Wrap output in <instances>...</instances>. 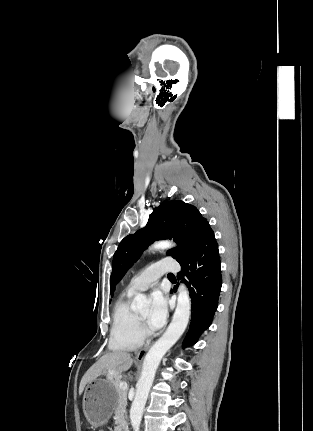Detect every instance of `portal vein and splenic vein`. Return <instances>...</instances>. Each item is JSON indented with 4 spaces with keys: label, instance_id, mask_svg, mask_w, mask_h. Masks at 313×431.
Segmentation results:
<instances>
[{
    "label": "portal vein and splenic vein",
    "instance_id": "portal-vein-and-splenic-vein-1",
    "mask_svg": "<svg viewBox=\"0 0 313 431\" xmlns=\"http://www.w3.org/2000/svg\"><path fill=\"white\" fill-rule=\"evenodd\" d=\"M119 387L123 391H126L128 389V384L126 382H120Z\"/></svg>",
    "mask_w": 313,
    "mask_h": 431
}]
</instances>
